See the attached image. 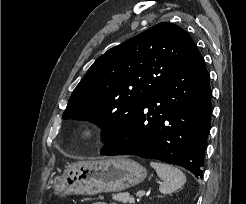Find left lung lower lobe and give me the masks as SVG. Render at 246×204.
<instances>
[{
	"label": "left lung lower lobe",
	"instance_id": "0a47b994",
	"mask_svg": "<svg viewBox=\"0 0 246 204\" xmlns=\"http://www.w3.org/2000/svg\"><path fill=\"white\" fill-rule=\"evenodd\" d=\"M209 79L204 58L196 49L106 141L100 153L157 159L202 177L212 113Z\"/></svg>",
	"mask_w": 246,
	"mask_h": 204
}]
</instances>
